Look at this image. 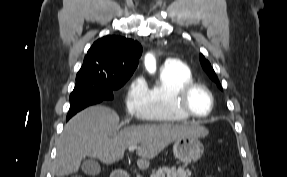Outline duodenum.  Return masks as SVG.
I'll list each match as a JSON object with an SVG mask.
<instances>
[{
  "mask_svg": "<svg viewBox=\"0 0 287 177\" xmlns=\"http://www.w3.org/2000/svg\"><path fill=\"white\" fill-rule=\"evenodd\" d=\"M111 177H128L123 170L121 169H116Z\"/></svg>",
  "mask_w": 287,
  "mask_h": 177,
  "instance_id": "1",
  "label": "duodenum"
}]
</instances>
